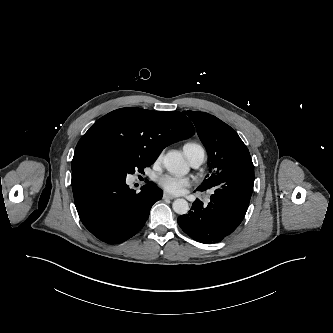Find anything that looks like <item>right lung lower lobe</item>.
<instances>
[{
	"label": "right lung lower lobe",
	"mask_w": 333,
	"mask_h": 333,
	"mask_svg": "<svg viewBox=\"0 0 333 333\" xmlns=\"http://www.w3.org/2000/svg\"><path fill=\"white\" fill-rule=\"evenodd\" d=\"M71 184L80 220L94 236L109 244L137 234L162 195L155 184L143 186L137 194L125 179L85 164L72 168Z\"/></svg>",
	"instance_id": "obj_1"
}]
</instances>
